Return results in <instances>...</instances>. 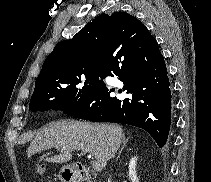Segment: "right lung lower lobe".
Here are the masks:
<instances>
[{"mask_svg":"<svg viewBox=\"0 0 211 182\" xmlns=\"http://www.w3.org/2000/svg\"><path fill=\"white\" fill-rule=\"evenodd\" d=\"M119 46L106 49L108 52L100 68L101 79L68 114L94 122L140 127L163 147L171 124V93L158 43L151 35ZM106 76L117 77L123 82V90L118 92L127 94L126 97L110 96L114 90H109L102 81Z\"/></svg>","mask_w":211,"mask_h":182,"instance_id":"1","label":"right lung lower lobe"}]
</instances>
